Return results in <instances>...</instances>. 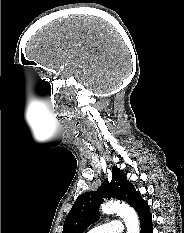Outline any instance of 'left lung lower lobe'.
I'll return each mask as SVG.
<instances>
[{"instance_id": "left-lung-lower-lobe-1", "label": "left lung lower lobe", "mask_w": 184, "mask_h": 233, "mask_svg": "<svg viewBox=\"0 0 184 233\" xmlns=\"http://www.w3.org/2000/svg\"><path fill=\"white\" fill-rule=\"evenodd\" d=\"M133 208L140 218V233H153L152 218L147 202L141 197L135 202Z\"/></svg>"}]
</instances>
